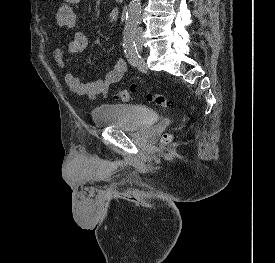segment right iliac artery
<instances>
[{"mask_svg": "<svg viewBox=\"0 0 275 263\" xmlns=\"http://www.w3.org/2000/svg\"><path fill=\"white\" fill-rule=\"evenodd\" d=\"M132 28H125L123 33V47L126 57L132 66H136L139 60L138 50L134 41Z\"/></svg>", "mask_w": 275, "mask_h": 263, "instance_id": "1", "label": "right iliac artery"}]
</instances>
